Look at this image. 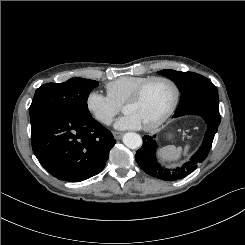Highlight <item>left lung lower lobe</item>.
Instances as JSON below:
<instances>
[{
  "instance_id": "obj_1",
  "label": "left lung lower lobe",
  "mask_w": 245,
  "mask_h": 245,
  "mask_svg": "<svg viewBox=\"0 0 245 245\" xmlns=\"http://www.w3.org/2000/svg\"><path fill=\"white\" fill-rule=\"evenodd\" d=\"M200 115L207 123V131L199 150L181 167L165 168L156 158V141L154 137L144 136L142 147L136 152L135 159L140 168L147 174L163 180L176 181L193 172L197 166L207 157L215 133L220 124L219 104L200 103L189 106L173 117L183 115Z\"/></svg>"
}]
</instances>
